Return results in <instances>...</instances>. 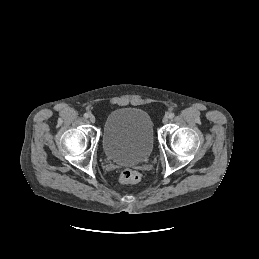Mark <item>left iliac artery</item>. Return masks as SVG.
<instances>
[{
    "mask_svg": "<svg viewBox=\"0 0 259 259\" xmlns=\"http://www.w3.org/2000/svg\"><path fill=\"white\" fill-rule=\"evenodd\" d=\"M174 116H175L174 113H170V114H169V118H170V119L174 118Z\"/></svg>",
    "mask_w": 259,
    "mask_h": 259,
    "instance_id": "obj_1",
    "label": "left iliac artery"
}]
</instances>
